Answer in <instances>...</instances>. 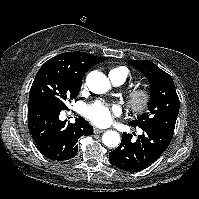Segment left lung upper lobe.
I'll use <instances>...</instances> for the list:
<instances>
[{
    "label": "left lung upper lobe",
    "instance_id": "1",
    "mask_svg": "<svg viewBox=\"0 0 199 199\" xmlns=\"http://www.w3.org/2000/svg\"><path fill=\"white\" fill-rule=\"evenodd\" d=\"M149 80L151 93L148 112L130 122L133 127L157 128L174 134L179 98L172 77L149 60L129 61Z\"/></svg>",
    "mask_w": 199,
    "mask_h": 199
}]
</instances>
